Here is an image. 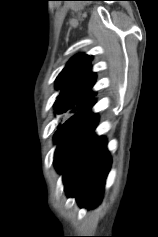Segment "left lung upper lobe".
Wrapping results in <instances>:
<instances>
[{
  "label": "left lung upper lobe",
  "mask_w": 158,
  "mask_h": 237,
  "mask_svg": "<svg viewBox=\"0 0 158 237\" xmlns=\"http://www.w3.org/2000/svg\"><path fill=\"white\" fill-rule=\"evenodd\" d=\"M96 74L91 72V57H73L56 79V88L61 89L53 107L57 114L67 111L77 112L94 99L91 90Z\"/></svg>",
  "instance_id": "left-lung-upper-lobe-1"
}]
</instances>
